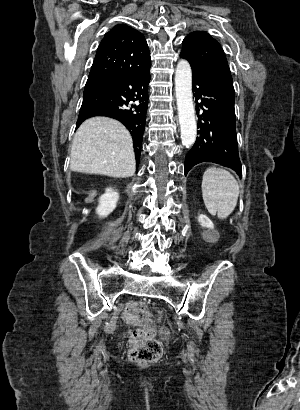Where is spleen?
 Wrapping results in <instances>:
<instances>
[{
	"label": "spleen",
	"mask_w": 300,
	"mask_h": 410,
	"mask_svg": "<svg viewBox=\"0 0 300 410\" xmlns=\"http://www.w3.org/2000/svg\"><path fill=\"white\" fill-rule=\"evenodd\" d=\"M202 196L208 212L227 218L237 205L239 185L234 176L221 168H208L203 174Z\"/></svg>",
	"instance_id": "obj_1"
}]
</instances>
